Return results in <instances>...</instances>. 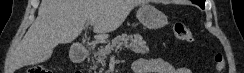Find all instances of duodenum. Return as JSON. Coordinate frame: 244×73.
<instances>
[{"label": "duodenum", "instance_id": "1", "mask_svg": "<svg viewBox=\"0 0 244 73\" xmlns=\"http://www.w3.org/2000/svg\"><path fill=\"white\" fill-rule=\"evenodd\" d=\"M90 54V47L84 43L76 44L70 51L71 61L74 63L83 62Z\"/></svg>", "mask_w": 244, "mask_h": 73}]
</instances>
